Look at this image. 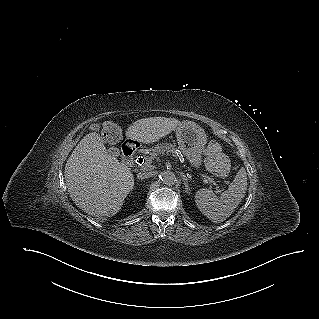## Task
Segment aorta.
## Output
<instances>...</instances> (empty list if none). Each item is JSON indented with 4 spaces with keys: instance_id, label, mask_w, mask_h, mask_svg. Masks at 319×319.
<instances>
[{
    "instance_id": "obj_1",
    "label": "aorta",
    "mask_w": 319,
    "mask_h": 319,
    "mask_svg": "<svg viewBox=\"0 0 319 319\" xmlns=\"http://www.w3.org/2000/svg\"><path fill=\"white\" fill-rule=\"evenodd\" d=\"M161 180L164 184L171 186L176 183V176L171 171H165L161 174Z\"/></svg>"
}]
</instances>
